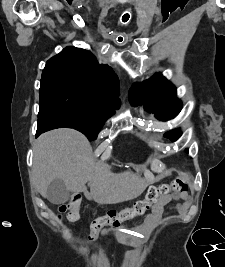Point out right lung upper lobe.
Segmentation results:
<instances>
[{"label":"right lung upper lobe","instance_id":"cb5924a9","mask_svg":"<svg viewBox=\"0 0 225 267\" xmlns=\"http://www.w3.org/2000/svg\"><path fill=\"white\" fill-rule=\"evenodd\" d=\"M49 80L83 86L113 109L120 106L117 75L108 65H100L87 50L69 46L49 59L43 69L41 81Z\"/></svg>","mask_w":225,"mask_h":267}]
</instances>
